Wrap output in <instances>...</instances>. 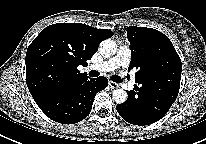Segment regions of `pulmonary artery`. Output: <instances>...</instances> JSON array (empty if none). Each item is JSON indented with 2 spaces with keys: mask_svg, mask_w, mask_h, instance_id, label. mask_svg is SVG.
Wrapping results in <instances>:
<instances>
[{
  "mask_svg": "<svg viewBox=\"0 0 206 144\" xmlns=\"http://www.w3.org/2000/svg\"><path fill=\"white\" fill-rule=\"evenodd\" d=\"M130 59L131 52L129 48L127 46H121L114 57L104 61L101 64L93 65L92 68L99 71L108 72L119 67H127L130 63Z\"/></svg>",
  "mask_w": 206,
  "mask_h": 144,
  "instance_id": "1",
  "label": "pulmonary artery"
}]
</instances>
